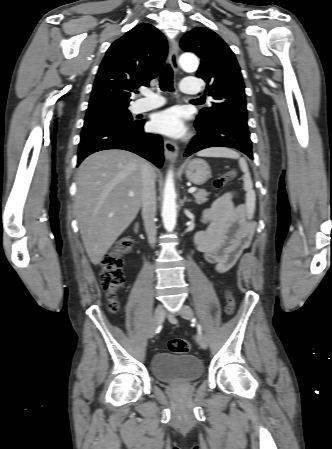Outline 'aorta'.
Here are the masks:
<instances>
[{
    "label": "aorta",
    "mask_w": 332,
    "mask_h": 449,
    "mask_svg": "<svg viewBox=\"0 0 332 449\" xmlns=\"http://www.w3.org/2000/svg\"><path fill=\"white\" fill-rule=\"evenodd\" d=\"M180 66L187 72H195L199 66L198 58L193 54H183L179 59ZM177 205L176 192L173 182L172 170H169L163 194L162 219L168 232H172L176 225Z\"/></svg>",
    "instance_id": "obj_1"
}]
</instances>
